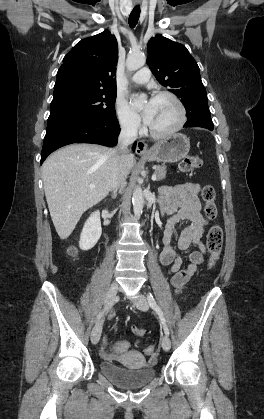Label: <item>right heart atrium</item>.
<instances>
[{
	"instance_id": "right-heart-atrium-1",
	"label": "right heart atrium",
	"mask_w": 264,
	"mask_h": 419,
	"mask_svg": "<svg viewBox=\"0 0 264 419\" xmlns=\"http://www.w3.org/2000/svg\"><path fill=\"white\" fill-rule=\"evenodd\" d=\"M115 113L121 128L131 134H136L141 129V121L137 113L121 96L115 100Z\"/></svg>"
}]
</instances>
